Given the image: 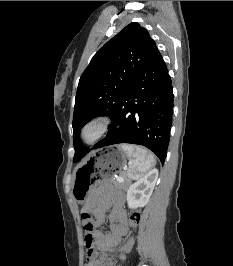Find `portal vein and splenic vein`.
Here are the masks:
<instances>
[{"label": "portal vein and splenic vein", "instance_id": "18ae733b", "mask_svg": "<svg viewBox=\"0 0 233 266\" xmlns=\"http://www.w3.org/2000/svg\"><path fill=\"white\" fill-rule=\"evenodd\" d=\"M116 180L118 181V182H123L124 181V178L123 177H116Z\"/></svg>", "mask_w": 233, "mask_h": 266}]
</instances>
